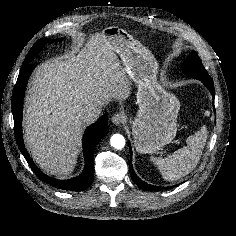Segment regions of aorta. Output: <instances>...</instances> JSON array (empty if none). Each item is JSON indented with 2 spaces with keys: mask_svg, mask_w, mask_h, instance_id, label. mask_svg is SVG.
Masks as SVG:
<instances>
[{
  "mask_svg": "<svg viewBox=\"0 0 236 236\" xmlns=\"http://www.w3.org/2000/svg\"><path fill=\"white\" fill-rule=\"evenodd\" d=\"M110 144L115 149H122L125 146V138L121 134H114L110 139Z\"/></svg>",
  "mask_w": 236,
  "mask_h": 236,
  "instance_id": "762f6f07",
  "label": "aorta"
}]
</instances>
